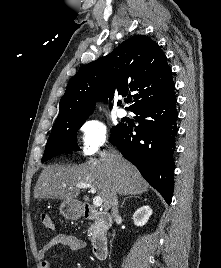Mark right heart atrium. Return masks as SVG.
<instances>
[{"instance_id": "right-heart-atrium-1", "label": "right heart atrium", "mask_w": 221, "mask_h": 268, "mask_svg": "<svg viewBox=\"0 0 221 268\" xmlns=\"http://www.w3.org/2000/svg\"><path fill=\"white\" fill-rule=\"evenodd\" d=\"M82 152L85 156H95L106 145L109 131L98 118H90L81 125Z\"/></svg>"}]
</instances>
